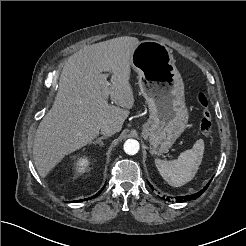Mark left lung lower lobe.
<instances>
[{"mask_svg":"<svg viewBox=\"0 0 246 246\" xmlns=\"http://www.w3.org/2000/svg\"><path fill=\"white\" fill-rule=\"evenodd\" d=\"M210 182H211V180H210L209 183H208L201 191H199L198 193H195V194L189 195V196H181V197H178V198H177V201H178V202H184V201L194 200V199L198 198V197H199L201 194H203L204 191L208 188ZM150 187L153 188L151 185H150ZM162 199H164V197H163ZM165 200H166V201H169L170 199H169V197H167Z\"/></svg>","mask_w":246,"mask_h":246,"instance_id":"obj_1","label":"left lung lower lobe"}]
</instances>
